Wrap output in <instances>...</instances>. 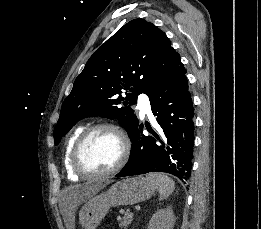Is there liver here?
<instances>
[{
    "instance_id": "obj_1",
    "label": "liver",
    "mask_w": 261,
    "mask_h": 229,
    "mask_svg": "<svg viewBox=\"0 0 261 229\" xmlns=\"http://www.w3.org/2000/svg\"><path fill=\"white\" fill-rule=\"evenodd\" d=\"M111 181H96V183H83V185H77L75 187V199L77 203H84L89 197L97 195L101 189H104L106 185H109Z\"/></svg>"
}]
</instances>
